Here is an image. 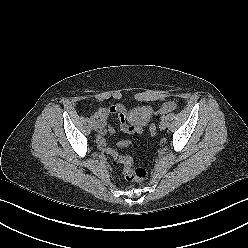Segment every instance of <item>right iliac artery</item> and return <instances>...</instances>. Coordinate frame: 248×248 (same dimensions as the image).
<instances>
[{
  "instance_id": "82829eb1",
  "label": "right iliac artery",
  "mask_w": 248,
  "mask_h": 248,
  "mask_svg": "<svg viewBox=\"0 0 248 248\" xmlns=\"http://www.w3.org/2000/svg\"><path fill=\"white\" fill-rule=\"evenodd\" d=\"M90 119H91L92 121H95V116H91Z\"/></svg>"
}]
</instances>
